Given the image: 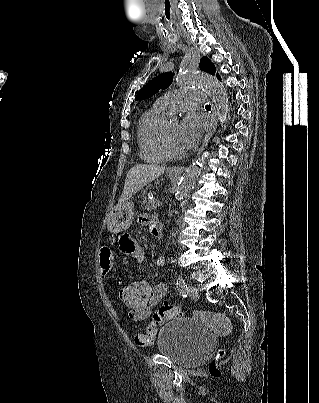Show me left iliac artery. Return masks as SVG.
Masks as SVG:
<instances>
[{"mask_svg":"<svg viewBox=\"0 0 319 403\" xmlns=\"http://www.w3.org/2000/svg\"><path fill=\"white\" fill-rule=\"evenodd\" d=\"M176 284H177V288H178L180 294L183 297H187L188 287H187V284L185 283V280L181 276H179L177 278V283Z\"/></svg>","mask_w":319,"mask_h":403,"instance_id":"44dca946","label":"left iliac artery"}]
</instances>
